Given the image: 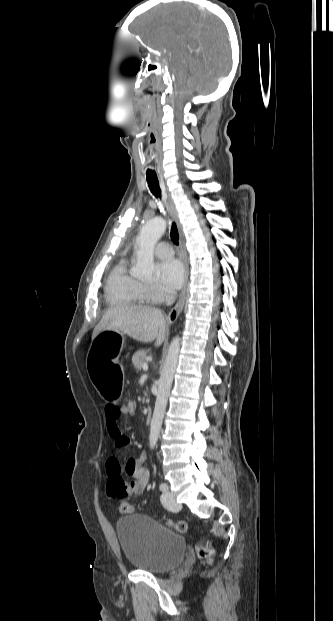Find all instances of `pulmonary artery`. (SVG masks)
I'll use <instances>...</instances> for the list:
<instances>
[{"label": "pulmonary artery", "instance_id": "obj_1", "mask_svg": "<svg viewBox=\"0 0 333 621\" xmlns=\"http://www.w3.org/2000/svg\"><path fill=\"white\" fill-rule=\"evenodd\" d=\"M155 254L162 259H170L173 256L172 246L168 242H159L155 247Z\"/></svg>", "mask_w": 333, "mask_h": 621}]
</instances>
